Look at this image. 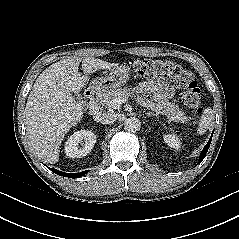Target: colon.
Listing matches in <instances>:
<instances>
[{
  "mask_svg": "<svg viewBox=\"0 0 239 239\" xmlns=\"http://www.w3.org/2000/svg\"><path fill=\"white\" fill-rule=\"evenodd\" d=\"M134 69L144 79L166 78L171 80L180 89L185 106L194 115L202 114L200 88L193 74L182 65L170 60L144 59L137 61Z\"/></svg>",
  "mask_w": 239,
  "mask_h": 239,
  "instance_id": "1",
  "label": "colon"
}]
</instances>
